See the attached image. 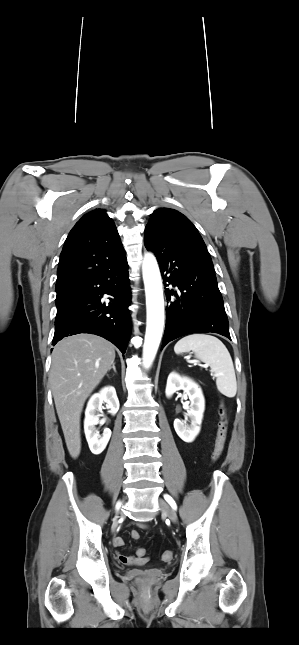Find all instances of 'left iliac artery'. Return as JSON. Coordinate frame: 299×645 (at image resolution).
Here are the masks:
<instances>
[{"mask_svg": "<svg viewBox=\"0 0 299 645\" xmlns=\"http://www.w3.org/2000/svg\"><path fill=\"white\" fill-rule=\"evenodd\" d=\"M164 497H165V500L170 504V506H171L174 510H176V509H177V505H176L175 501L173 500V498H172L171 496H169V495H165Z\"/></svg>", "mask_w": 299, "mask_h": 645, "instance_id": "1", "label": "left iliac artery"}]
</instances>
